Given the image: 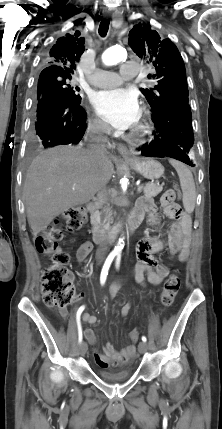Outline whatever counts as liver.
Returning <instances> with one entry per match:
<instances>
[{
	"mask_svg": "<svg viewBox=\"0 0 222 429\" xmlns=\"http://www.w3.org/2000/svg\"><path fill=\"white\" fill-rule=\"evenodd\" d=\"M113 172L106 151L96 156L80 146L42 151L31 162L23 188L32 234L37 236L64 211L88 203Z\"/></svg>",
	"mask_w": 222,
	"mask_h": 429,
	"instance_id": "6515ba94",
	"label": "liver"
}]
</instances>
